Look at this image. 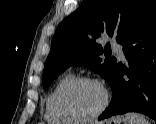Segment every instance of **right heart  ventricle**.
<instances>
[{
  "label": "right heart ventricle",
  "instance_id": "right-heart-ventricle-1",
  "mask_svg": "<svg viewBox=\"0 0 156 124\" xmlns=\"http://www.w3.org/2000/svg\"><path fill=\"white\" fill-rule=\"evenodd\" d=\"M75 78L71 71L63 74L53 85L52 89L47 95L44 107V118L50 124H71L72 122L63 118L55 108V98L61 87Z\"/></svg>",
  "mask_w": 156,
  "mask_h": 124
}]
</instances>
